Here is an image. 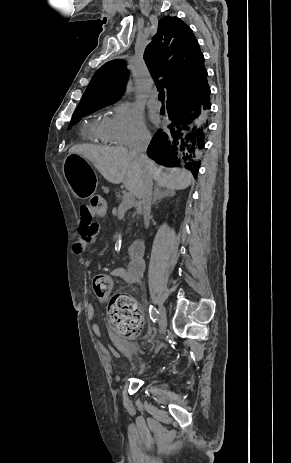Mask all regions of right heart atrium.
<instances>
[{
    "mask_svg": "<svg viewBox=\"0 0 291 463\" xmlns=\"http://www.w3.org/2000/svg\"><path fill=\"white\" fill-rule=\"evenodd\" d=\"M109 132L113 142L122 146L145 143L150 139L142 115L126 102L114 107Z\"/></svg>",
    "mask_w": 291,
    "mask_h": 463,
    "instance_id": "obj_1",
    "label": "right heart atrium"
}]
</instances>
